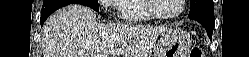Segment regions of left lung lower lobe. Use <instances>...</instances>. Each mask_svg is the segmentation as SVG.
<instances>
[{
	"label": "left lung lower lobe",
	"mask_w": 249,
	"mask_h": 57,
	"mask_svg": "<svg viewBox=\"0 0 249 57\" xmlns=\"http://www.w3.org/2000/svg\"><path fill=\"white\" fill-rule=\"evenodd\" d=\"M189 18L201 23L206 29L210 40L212 39L213 29L215 25L214 14H208V13L198 14V15L189 16Z\"/></svg>",
	"instance_id": "1"
}]
</instances>
